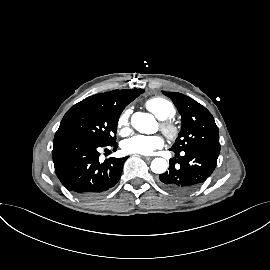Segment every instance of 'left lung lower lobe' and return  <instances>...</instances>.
I'll list each match as a JSON object with an SVG mask.
<instances>
[{"label":"left lung lower lobe","mask_w":270,"mask_h":270,"mask_svg":"<svg viewBox=\"0 0 270 270\" xmlns=\"http://www.w3.org/2000/svg\"><path fill=\"white\" fill-rule=\"evenodd\" d=\"M175 152V151H174ZM175 152L170 160L169 171L159 175L160 185L175 194H188L201 186L216 167L219 154L192 149ZM178 163L179 165L175 164Z\"/></svg>","instance_id":"obj_1"}]
</instances>
